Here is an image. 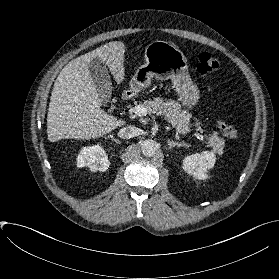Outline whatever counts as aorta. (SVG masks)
I'll list each match as a JSON object with an SVG mask.
<instances>
[{
    "label": "aorta",
    "instance_id": "aorta-1",
    "mask_svg": "<svg viewBox=\"0 0 279 279\" xmlns=\"http://www.w3.org/2000/svg\"><path fill=\"white\" fill-rule=\"evenodd\" d=\"M157 148V143L151 139L145 140L141 145L142 153L148 157L153 156L156 153Z\"/></svg>",
    "mask_w": 279,
    "mask_h": 279
}]
</instances>
